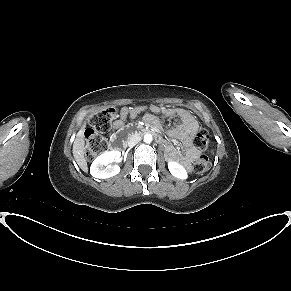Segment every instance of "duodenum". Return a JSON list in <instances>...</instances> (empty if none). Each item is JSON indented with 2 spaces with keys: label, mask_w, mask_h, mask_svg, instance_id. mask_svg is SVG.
I'll use <instances>...</instances> for the list:
<instances>
[{
  "label": "duodenum",
  "mask_w": 291,
  "mask_h": 291,
  "mask_svg": "<svg viewBox=\"0 0 291 291\" xmlns=\"http://www.w3.org/2000/svg\"><path fill=\"white\" fill-rule=\"evenodd\" d=\"M135 132L142 135L150 132V130L141 123L125 126L123 130H120V133L113 135V140L108 145L110 152L114 154L121 152L124 147V141ZM154 139L160 143H166V137H161V134H154Z\"/></svg>",
  "instance_id": "1"
}]
</instances>
